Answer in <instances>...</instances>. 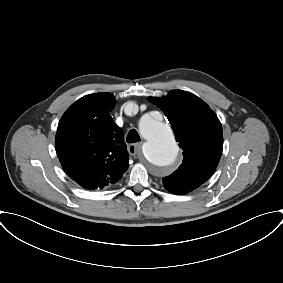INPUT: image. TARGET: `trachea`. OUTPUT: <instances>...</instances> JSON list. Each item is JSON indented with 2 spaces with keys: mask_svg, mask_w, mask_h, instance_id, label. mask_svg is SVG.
Wrapping results in <instances>:
<instances>
[{
  "mask_svg": "<svg viewBox=\"0 0 283 283\" xmlns=\"http://www.w3.org/2000/svg\"><path fill=\"white\" fill-rule=\"evenodd\" d=\"M140 140H141L140 136L135 129H132V130L129 131L127 138H126V141L128 143L139 142Z\"/></svg>",
  "mask_w": 283,
  "mask_h": 283,
  "instance_id": "trachea-1",
  "label": "trachea"
}]
</instances>
